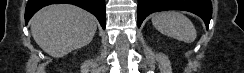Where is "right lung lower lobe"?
Segmentation results:
<instances>
[{
	"label": "right lung lower lobe",
	"mask_w": 244,
	"mask_h": 73,
	"mask_svg": "<svg viewBox=\"0 0 244 73\" xmlns=\"http://www.w3.org/2000/svg\"><path fill=\"white\" fill-rule=\"evenodd\" d=\"M56 3H69L89 11L96 16L102 28L105 29V0H28L25 23L27 24L29 19L42 7Z\"/></svg>",
	"instance_id": "1"
}]
</instances>
